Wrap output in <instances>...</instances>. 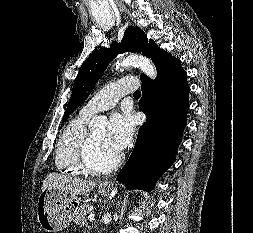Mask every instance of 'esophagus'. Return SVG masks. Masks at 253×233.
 Returning a JSON list of instances; mask_svg holds the SVG:
<instances>
[{"mask_svg":"<svg viewBox=\"0 0 253 233\" xmlns=\"http://www.w3.org/2000/svg\"><path fill=\"white\" fill-rule=\"evenodd\" d=\"M111 184L110 183H108V182H105L104 183V186H110Z\"/></svg>","mask_w":253,"mask_h":233,"instance_id":"esophagus-1","label":"esophagus"}]
</instances>
